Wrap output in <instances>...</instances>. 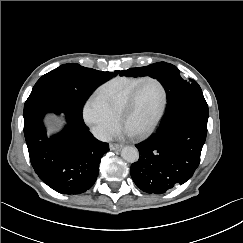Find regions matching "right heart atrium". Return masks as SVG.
Segmentation results:
<instances>
[{"instance_id": "d8ad5b80", "label": "right heart atrium", "mask_w": 243, "mask_h": 243, "mask_svg": "<svg viewBox=\"0 0 243 243\" xmlns=\"http://www.w3.org/2000/svg\"><path fill=\"white\" fill-rule=\"evenodd\" d=\"M83 117L96 137L106 140L116 131L119 120L93 94L86 101Z\"/></svg>"}]
</instances>
